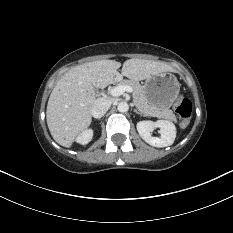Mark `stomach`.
<instances>
[{"label":"stomach","instance_id":"obj_1","mask_svg":"<svg viewBox=\"0 0 233 233\" xmlns=\"http://www.w3.org/2000/svg\"><path fill=\"white\" fill-rule=\"evenodd\" d=\"M143 89L150 105L168 109L179 96L180 84L173 74L163 72L148 78Z\"/></svg>","mask_w":233,"mask_h":233}]
</instances>
